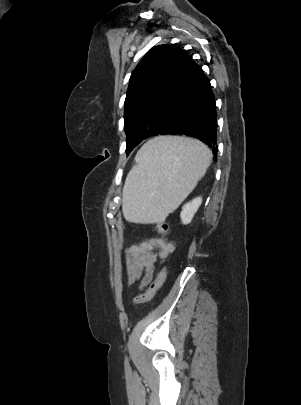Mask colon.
Segmentation results:
<instances>
[{
    "instance_id": "1",
    "label": "colon",
    "mask_w": 301,
    "mask_h": 405,
    "mask_svg": "<svg viewBox=\"0 0 301 405\" xmlns=\"http://www.w3.org/2000/svg\"><path fill=\"white\" fill-rule=\"evenodd\" d=\"M156 228L158 232L161 234H167L169 232V225L167 223H158L156 225ZM165 278H166V268L162 267L154 282L149 286V288L144 293L134 297L132 300V304L138 305L149 302L154 297L159 288L163 285Z\"/></svg>"
}]
</instances>
